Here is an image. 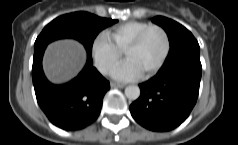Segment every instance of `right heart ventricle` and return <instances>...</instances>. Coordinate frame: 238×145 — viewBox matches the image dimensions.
<instances>
[{
	"label": "right heart ventricle",
	"instance_id": "e07e8e85",
	"mask_svg": "<svg viewBox=\"0 0 238 145\" xmlns=\"http://www.w3.org/2000/svg\"><path fill=\"white\" fill-rule=\"evenodd\" d=\"M149 23L143 21H129L112 27L105 33V37L121 52H124L129 43L145 28Z\"/></svg>",
	"mask_w": 238,
	"mask_h": 145
}]
</instances>
